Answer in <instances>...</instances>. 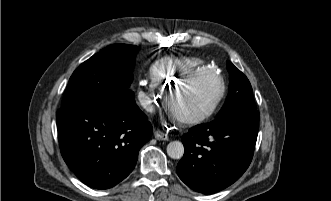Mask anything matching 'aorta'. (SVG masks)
Instances as JSON below:
<instances>
[{
  "mask_svg": "<svg viewBox=\"0 0 331 201\" xmlns=\"http://www.w3.org/2000/svg\"><path fill=\"white\" fill-rule=\"evenodd\" d=\"M167 154L173 159H180L184 155V146L180 141H172L167 145Z\"/></svg>",
  "mask_w": 331,
  "mask_h": 201,
  "instance_id": "1",
  "label": "aorta"
}]
</instances>
